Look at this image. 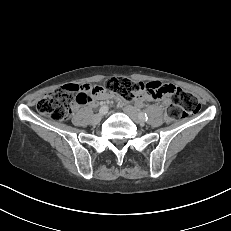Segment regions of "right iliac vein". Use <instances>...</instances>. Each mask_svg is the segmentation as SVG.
<instances>
[{"label":"right iliac vein","instance_id":"63e3f726","mask_svg":"<svg viewBox=\"0 0 231 231\" xmlns=\"http://www.w3.org/2000/svg\"><path fill=\"white\" fill-rule=\"evenodd\" d=\"M107 112H103V113H98L93 117V123L97 124L100 122V120L102 119V117L106 114Z\"/></svg>","mask_w":231,"mask_h":231}]
</instances>
